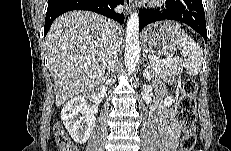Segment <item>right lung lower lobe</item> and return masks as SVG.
Returning a JSON list of instances; mask_svg holds the SVG:
<instances>
[{
    "instance_id": "obj_1",
    "label": "right lung lower lobe",
    "mask_w": 231,
    "mask_h": 151,
    "mask_svg": "<svg viewBox=\"0 0 231 151\" xmlns=\"http://www.w3.org/2000/svg\"><path fill=\"white\" fill-rule=\"evenodd\" d=\"M123 3L124 0H48L44 36L58 16L72 10L96 12L122 24L124 22V15L116 13L114 8L116 5Z\"/></svg>"
}]
</instances>
